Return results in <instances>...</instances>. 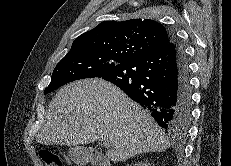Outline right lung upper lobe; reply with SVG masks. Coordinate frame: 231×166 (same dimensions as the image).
<instances>
[{
	"label": "right lung upper lobe",
	"instance_id": "1",
	"mask_svg": "<svg viewBox=\"0 0 231 166\" xmlns=\"http://www.w3.org/2000/svg\"><path fill=\"white\" fill-rule=\"evenodd\" d=\"M170 41L165 27L153 20L104 21L77 37L68 53L88 49L130 61L159 51Z\"/></svg>",
	"mask_w": 231,
	"mask_h": 166
}]
</instances>
